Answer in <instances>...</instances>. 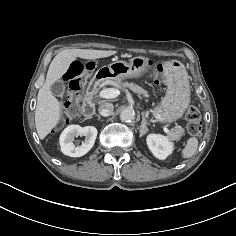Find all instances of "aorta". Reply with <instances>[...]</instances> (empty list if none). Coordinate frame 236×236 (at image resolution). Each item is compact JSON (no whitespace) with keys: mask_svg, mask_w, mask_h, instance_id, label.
Segmentation results:
<instances>
[{"mask_svg":"<svg viewBox=\"0 0 236 236\" xmlns=\"http://www.w3.org/2000/svg\"><path fill=\"white\" fill-rule=\"evenodd\" d=\"M135 118V113L131 108H126L120 113V120L122 122H131Z\"/></svg>","mask_w":236,"mask_h":236,"instance_id":"aorta-1","label":"aorta"}]
</instances>
